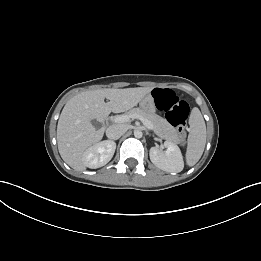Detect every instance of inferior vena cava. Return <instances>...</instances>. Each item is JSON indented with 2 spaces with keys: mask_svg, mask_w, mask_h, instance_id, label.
Returning a JSON list of instances; mask_svg holds the SVG:
<instances>
[{
  "mask_svg": "<svg viewBox=\"0 0 261 261\" xmlns=\"http://www.w3.org/2000/svg\"><path fill=\"white\" fill-rule=\"evenodd\" d=\"M127 131L126 126L114 124L107 128L106 136L111 140L119 139Z\"/></svg>",
  "mask_w": 261,
  "mask_h": 261,
  "instance_id": "602c4592",
  "label": "inferior vena cava"
}]
</instances>
